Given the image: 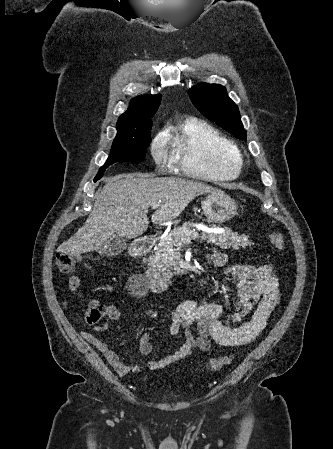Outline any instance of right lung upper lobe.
Returning <instances> with one entry per match:
<instances>
[{
  "instance_id": "obj_1",
  "label": "right lung upper lobe",
  "mask_w": 333,
  "mask_h": 449,
  "mask_svg": "<svg viewBox=\"0 0 333 449\" xmlns=\"http://www.w3.org/2000/svg\"><path fill=\"white\" fill-rule=\"evenodd\" d=\"M160 102L159 94L143 95L133 99L128 110L118 119L116 139L139 137L144 124L155 114Z\"/></svg>"
}]
</instances>
